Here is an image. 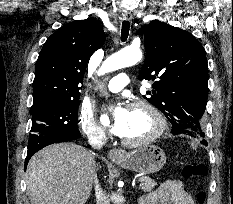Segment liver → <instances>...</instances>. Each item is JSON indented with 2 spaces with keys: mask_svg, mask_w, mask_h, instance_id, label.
<instances>
[{
  "mask_svg": "<svg viewBox=\"0 0 233 204\" xmlns=\"http://www.w3.org/2000/svg\"><path fill=\"white\" fill-rule=\"evenodd\" d=\"M94 156L75 143L45 147L29 161L26 172L31 204H85L92 190Z\"/></svg>",
  "mask_w": 233,
  "mask_h": 204,
  "instance_id": "obj_1",
  "label": "liver"
}]
</instances>
